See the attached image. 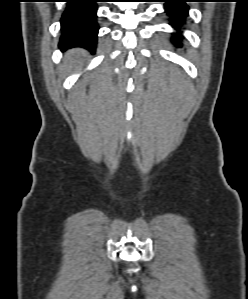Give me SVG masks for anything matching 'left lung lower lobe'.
<instances>
[{
  "mask_svg": "<svg viewBox=\"0 0 248 299\" xmlns=\"http://www.w3.org/2000/svg\"><path fill=\"white\" fill-rule=\"evenodd\" d=\"M189 0H162L165 2V11L171 16V25L177 29L185 22V18L188 14V6L186 2ZM176 42V39L173 38ZM177 46H180L179 42H176Z\"/></svg>",
  "mask_w": 248,
  "mask_h": 299,
  "instance_id": "left-lung-lower-lobe-1",
  "label": "left lung lower lobe"
}]
</instances>
